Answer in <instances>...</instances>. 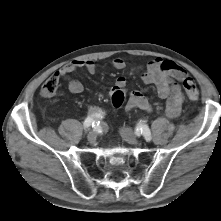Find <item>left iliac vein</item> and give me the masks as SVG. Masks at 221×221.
<instances>
[{
  "label": "left iliac vein",
  "mask_w": 221,
  "mask_h": 221,
  "mask_svg": "<svg viewBox=\"0 0 221 221\" xmlns=\"http://www.w3.org/2000/svg\"><path fill=\"white\" fill-rule=\"evenodd\" d=\"M120 134H121L122 138L125 141H127L129 144H132V145L139 144V140L131 128H129V127L121 128Z\"/></svg>",
  "instance_id": "1"
}]
</instances>
